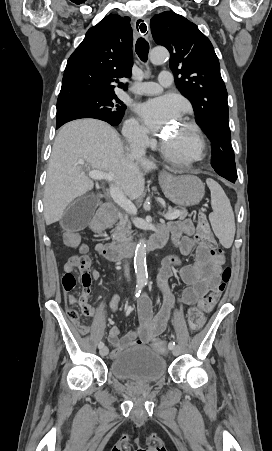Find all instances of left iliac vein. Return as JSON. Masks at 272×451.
Wrapping results in <instances>:
<instances>
[{
	"label": "left iliac vein",
	"instance_id": "4c4485c4",
	"mask_svg": "<svg viewBox=\"0 0 272 451\" xmlns=\"http://www.w3.org/2000/svg\"><path fill=\"white\" fill-rule=\"evenodd\" d=\"M173 355L174 356H177V355H179V353H180V350H179V348L177 347V346H175V348L173 349Z\"/></svg>",
	"mask_w": 272,
	"mask_h": 451
}]
</instances>
